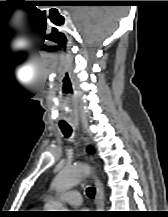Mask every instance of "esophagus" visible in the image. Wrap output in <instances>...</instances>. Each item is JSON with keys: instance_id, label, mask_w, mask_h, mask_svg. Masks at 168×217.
Returning <instances> with one entry per match:
<instances>
[{"instance_id": "esophagus-1", "label": "esophagus", "mask_w": 168, "mask_h": 217, "mask_svg": "<svg viewBox=\"0 0 168 217\" xmlns=\"http://www.w3.org/2000/svg\"><path fill=\"white\" fill-rule=\"evenodd\" d=\"M95 187H96V208L98 210H102L104 208V191L101 182L96 179L95 180Z\"/></svg>"}]
</instances>
